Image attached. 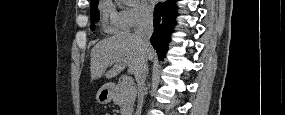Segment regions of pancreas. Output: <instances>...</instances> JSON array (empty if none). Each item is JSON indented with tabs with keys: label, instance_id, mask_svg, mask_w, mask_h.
I'll return each instance as SVG.
<instances>
[{
	"label": "pancreas",
	"instance_id": "pancreas-1",
	"mask_svg": "<svg viewBox=\"0 0 285 115\" xmlns=\"http://www.w3.org/2000/svg\"><path fill=\"white\" fill-rule=\"evenodd\" d=\"M136 97V89L132 85L120 82L114 89L113 102L120 106L122 115H129Z\"/></svg>",
	"mask_w": 285,
	"mask_h": 115
}]
</instances>
